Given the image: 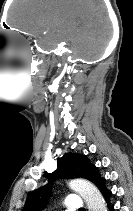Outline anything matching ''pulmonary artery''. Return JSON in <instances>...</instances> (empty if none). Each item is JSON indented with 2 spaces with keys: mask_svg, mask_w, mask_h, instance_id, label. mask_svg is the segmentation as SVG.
<instances>
[{
  "mask_svg": "<svg viewBox=\"0 0 133 211\" xmlns=\"http://www.w3.org/2000/svg\"><path fill=\"white\" fill-rule=\"evenodd\" d=\"M64 205L66 207V211H76L80 210L83 207L82 198L76 194H70L66 196L64 200Z\"/></svg>",
  "mask_w": 133,
  "mask_h": 211,
  "instance_id": "obj_1",
  "label": "pulmonary artery"
}]
</instances>
